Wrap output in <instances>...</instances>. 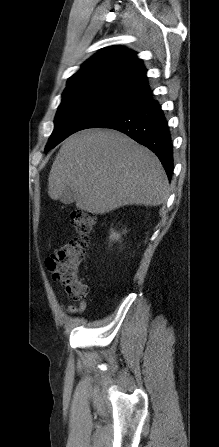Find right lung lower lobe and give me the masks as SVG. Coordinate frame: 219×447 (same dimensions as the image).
Masks as SVG:
<instances>
[{"label": "right lung lower lobe", "instance_id": "98d812e1", "mask_svg": "<svg viewBox=\"0 0 219 447\" xmlns=\"http://www.w3.org/2000/svg\"><path fill=\"white\" fill-rule=\"evenodd\" d=\"M98 128L118 130L153 151L168 178L173 171V148L168 123L161 106L152 98L122 114L108 119Z\"/></svg>", "mask_w": 219, "mask_h": 447}]
</instances>
